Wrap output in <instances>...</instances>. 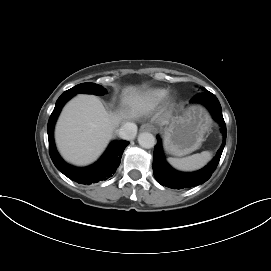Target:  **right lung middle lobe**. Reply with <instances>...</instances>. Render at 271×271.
Wrapping results in <instances>:
<instances>
[{"mask_svg":"<svg viewBox=\"0 0 271 271\" xmlns=\"http://www.w3.org/2000/svg\"><path fill=\"white\" fill-rule=\"evenodd\" d=\"M77 93H90V94H95V95H104V94H107V91L105 88H103L101 85H98V84L82 83L65 91L63 94H70L74 96Z\"/></svg>","mask_w":271,"mask_h":271,"instance_id":"obj_1","label":"right lung middle lobe"}]
</instances>
